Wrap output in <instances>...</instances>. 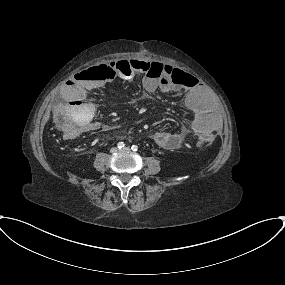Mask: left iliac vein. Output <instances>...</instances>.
I'll return each mask as SVG.
<instances>
[{"instance_id":"obj_1","label":"left iliac vein","mask_w":285,"mask_h":285,"mask_svg":"<svg viewBox=\"0 0 285 285\" xmlns=\"http://www.w3.org/2000/svg\"><path fill=\"white\" fill-rule=\"evenodd\" d=\"M129 150H130L129 147H125V148L123 149V151H129Z\"/></svg>"}]
</instances>
